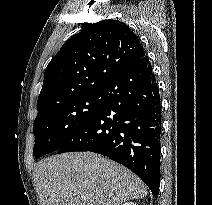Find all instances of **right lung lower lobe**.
<instances>
[{
  "label": "right lung lower lobe",
  "mask_w": 212,
  "mask_h": 205,
  "mask_svg": "<svg viewBox=\"0 0 212 205\" xmlns=\"http://www.w3.org/2000/svg\"><path fill=\"white\" fill-rule=\"evenodd\" d=\"M102 103L58 150L91 151L126 166L157 197L160 182L161 102L148 56L101 90Z\"/></svg>",
  "instance_id": "98d812e1"
}]
</instances>
